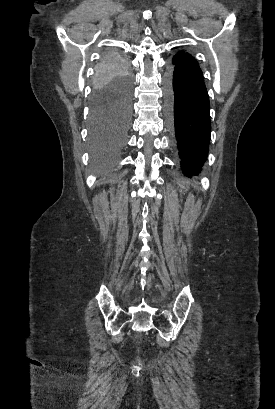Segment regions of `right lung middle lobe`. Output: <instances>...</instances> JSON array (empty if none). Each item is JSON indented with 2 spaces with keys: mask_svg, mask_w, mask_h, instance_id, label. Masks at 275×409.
Segmentation results:
<instances>
[{
  "mask_svg": "<svg viewBox=\"0 0 275 409\" xmlns=\"http://www.w3.org/2000/svg\"><path fill=\"white\" fill-rule=\"evenodd\" d=\"M89 121L88 164L98 170L111 166L126 146L131 118L132 75L124 56L115 48L101 54L93 78ZM102 170V169H100ZM92 177H107V172H92Z\"/></svg>",
  "mask_w": 275,
  "mask_h": 409,
  "instance_id": "1",
  "label": "right lung middle lobe"
}]
</instances>
